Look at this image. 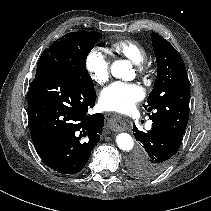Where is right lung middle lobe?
<instances>
[{
	"mask_svg": "<svg viewBox=\"0 0 211 211\" xmlns=\"http://www.w3.org/2000/svg\"><path fill=\"white\" fill-rule=\"evenodd\" d=\"M101 37L99 32L84 30L67 33L44 50L40 59L51 57L57 67L68 72L81 84L94 89L93 81L85 67L86 58Z\"/></svg>",
	"mask_w": 211,
	"mask_h": 211,
	"instance_id": "right-lung-middle-lobe-1",
	"label": "right lung middle lobe"
}]
</instances>
